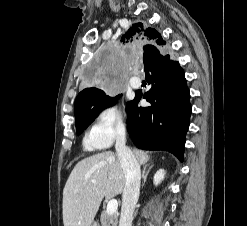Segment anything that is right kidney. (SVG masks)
Wrapping results in <instances>:
<instances>
[{"label":"right kidney","mask_w":247,"mask_h":226,"mask_svg":"<svg viewBox=\"0 0 247 226\" xmlns=\"http://www.w3.org/2000/svg\"><path fill=\"white\" fill-rule=\"evenodd\" d=\"M165 176V171L164 169H159L153 178V183L155 186H157L159 183H161V181L164 179Z\"/></svg>","instance_id":"right-kidney-1"}]
</instances>
